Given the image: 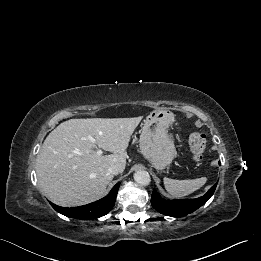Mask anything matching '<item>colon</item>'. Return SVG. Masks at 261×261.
<instances>
[{
  "mask_svg": "<svg viewBox=\"0 0 261 261\" xmlns=\"http://www.w3.org/2000/svg\"><path fill=\"white\" fill-rule=\"evenodd\" d=\"M189 145L193 160L196 162L201 161L206 150L205 135L198 131L191 132L189 135Z\"/></svg>",
  "mask_w": 261,
  "mask_h": 261,
  "instance_id": "1",
  "label": "colon"
}]
</instances>
